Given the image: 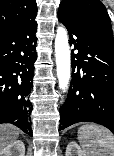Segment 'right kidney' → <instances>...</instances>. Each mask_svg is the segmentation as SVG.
<instances>
[{
    "instance_id": "obj_1",
    "label": "right kidney",
    "mask_w": 114,
    "mask_h": 156,
    "mask_svg": "<svg viewBox=\"0 0 114 156\" xmlns=\"http://www.w3.org/2000/svg\"><path fill=\"white\" fill-rule=\"evenodd\" d=\"M0 156H25V145L20 140L14 141L0 151Z\"/></svg>"
}]
</instances>
